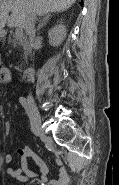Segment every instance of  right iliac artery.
Here are the masks:
<instances>
[{
  "instance_id": "82829eb1",
  "label": "right iliac artery",
  "mask_w": 119,
  "mask_h": 185,
  "mask_svg": "<svg viewBox=\"0 0 119 185\" xmlns=\"http://www.w3.org/2000/svg\"><path fill=\"white\" fill-rule=\"evenodd\" d=\"M19 102L21 103V105L25 108L26 110V113L28 115V118H29V123L31 124V130L32 132L36 135V136H39V133H38V130L36 128L35 124L36 122V118H37V113H32V107H31V104L29 102L28 99H26L25 97H20L19 98Z\"/></svg>"
}]
</instances>
